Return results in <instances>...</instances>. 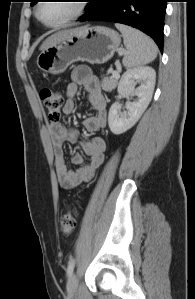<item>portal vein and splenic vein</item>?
Returning <instances> with one entry per match:
<instances>
[{
    "mask_svg": "<svg viewBox=\"0 0 195 299\" xmlns=\"http://www.w3.org/2000/svg\"><path fill=\"white\" fill-rule=\"evenodd\" d=\"M112 77L119 78L120 77L119 72L118 71H113L112 72Z\"/></svg>",
    "mask_w": 195,
    "mask_h": 299,
    "instance_id": "obj_1",
    "label": "portal vein and splenic vein"
}]
</instances>
